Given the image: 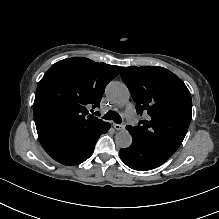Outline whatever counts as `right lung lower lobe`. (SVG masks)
<instances>
[{
    "instance_id": "obj_1",
    "label": "right lung lower lobe",
    "mask_w": 219,
    "mask_h": 219,
    "mask_svg": "<svg viewBox=\"0 0 219 219\" xmlns=\"http://www.w3.org/2000/svg\"><path fill=\"white\" fill-rule=\"evenodd\" d=\"M109 128L110 124L105 122L89 133H73L39 140L44 150L54 160L72 166L84 162L92 155L97 139Z\"/></svg>"
}]
</instances>
